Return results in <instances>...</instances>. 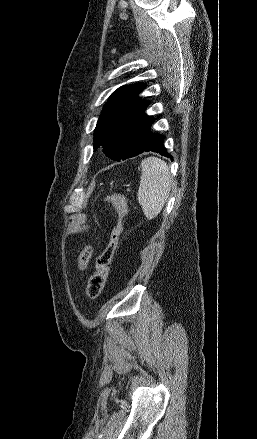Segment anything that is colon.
Segmentation results:
<instances>
[{"label":"colon","instance_id":"5ec220e1","mask_svg":"<svg viewBox=\"0 0 257 439\" xmlns=\"http://www.w3.org/2000/svg\"><path fill=\"white\" fill-rule=\"evenodd\" d=\"M105 201L115 208L116 223L112 229L107 246L95 260V272L89 278L87 283L86 293L92 299L97 298L104 288L117 249L119 236L122 230V223L128 212L127 200L122 195L114 194L107 196ZM92 253L93 248L90 244H87L82 249L78 258L80 270H85L87 268Z\"/></svg>","mask_w":257,"mask_h":439}]
</instances>
